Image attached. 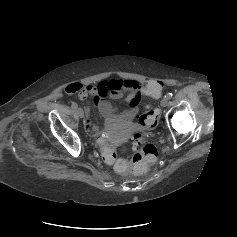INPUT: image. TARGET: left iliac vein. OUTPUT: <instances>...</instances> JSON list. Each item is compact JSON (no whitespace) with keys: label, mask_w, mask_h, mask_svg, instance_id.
Returning a JSON list of instances; mask_svg holds the SVG:
<instances>
[{"label":"left iliac vein","mask_w":237,"mask_h":237,"mask_svg":"<svg viewBox=\"0 0 237 237\" xmlns=\"http://www.w3.org/2000/svg\"><path fill=\"white\" fill-rule=\"evenodd\" d=\"M168 98L167 97H163L160 104L162 107H166L168 105Z\"/></svg>","instance_id":"1"}]
</instances>
